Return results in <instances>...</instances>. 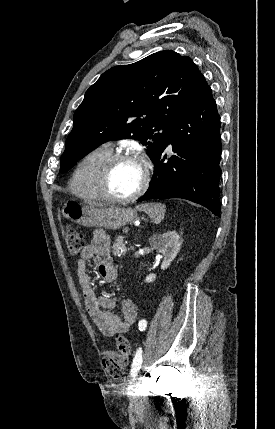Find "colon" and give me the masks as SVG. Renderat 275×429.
Listing matches in <instances>:
<instances>
[{"mask_svg": "<svg viewBox=\"0 0 275 429\" xmlns=\"http://www.w3.org/2000/svg\"><path fill=\"white\" fill-rule=\"evenodd\" d=\"M64 240L68 253L76 256L84 246V237L75 230H67L64 234ZM116 351H107L102 357V365L105 372L112 378H119L123 375L130 356V345L124 336H117Z\"/></svg>", "mask_w": 275, "mask_h": 429, "instance_id": "5ec220e1", "label": "colon"}]
</instances>
